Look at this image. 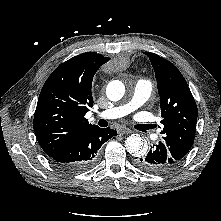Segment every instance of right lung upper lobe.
<instances>
[{"label":"right lung upper lobe","instance_id":"obj_1","mask_svg":"<svg viewBox=\"0 0 221 221\" xmlns=\"http://www.w3.org/2000/svg\"><path fill=\"white\" fill-rule=\"evenodd\" d=\"M108 61L101 54L86 52L62 63L46 80L33 126L41 148L49 157L96 126L84 116L93 106V77Z\"/></svg>","mask_w":221,"mask_h":221}]
</instances>
